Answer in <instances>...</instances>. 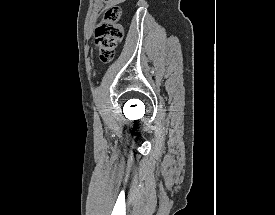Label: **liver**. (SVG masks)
<instances>
[{"instance_id": "6515ba94", "label": "liver", "mask_w": 275, "mask_h": 215, "mask_svg": "<svg viewBox=\"0 0 275 215\" xmlns=\"http://www.w3.org/2000/svg\"><path fill=\"white\" fill-rule=\"evenodd\" d=\"M125 0H117V2H124Z\"/></svg>"}]
</instances>
